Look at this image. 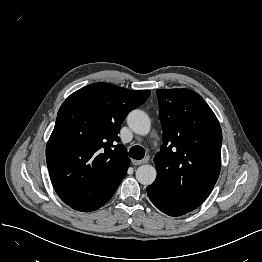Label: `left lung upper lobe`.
Segmentation results:
<instances>
[{
    "mask_svg": "<svg viewBox=\"0 0 262 262\" xmlns=\"http://www.w3.org/2000/svg\"><path fill=\"white\" fill-rule=\"evenodd\" d=\"M163 145L155 156L153 189L190 212L210 195L220 173L222 131L204 99L189 89L156 91Z\"/></svg>",
    "mask_w": 262,
    "mask_h": 262,
    "instance_id": "obj_1",
    "label": "left lung upper lobe"
}]
</instances>
